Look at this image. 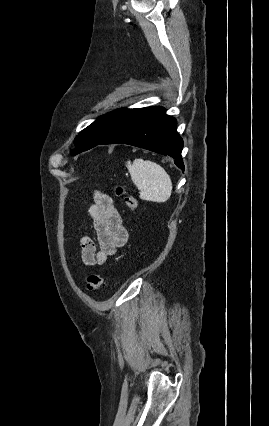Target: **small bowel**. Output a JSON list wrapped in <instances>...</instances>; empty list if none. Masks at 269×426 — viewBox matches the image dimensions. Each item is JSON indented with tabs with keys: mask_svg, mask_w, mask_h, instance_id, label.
Wrapping results in <instances>:
<instances>
[{
	"mask_svg": "<svg viewBox=\"0 0 269 426\" xmlns=\"http://www.w3.org/2000/svg\"><path fill=\"white\" fill-rule=\"evenodd\" d=\"M89 214L99 249H96L94 241L87 236L80 239L79 247L82 263L92 267L105 264L109 257L123 247L127 243L128 232L112 199L104 193H95Z\"/></svg>",
	"mask_w": 269,
	"mask_h": 426,
	"instance_id": "small-bowel-1",
	"label": "small bowel"
}]
</instances>
